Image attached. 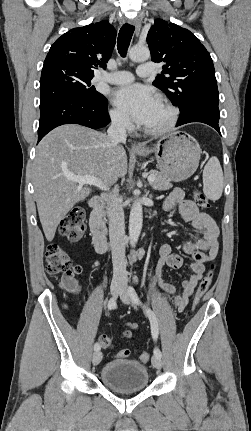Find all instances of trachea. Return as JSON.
Here are the masks:
<instances>
[{
	"instance_id": "obj_1",
	"label": "trachea",
	"mask_w": 251,
	"mask_h": 431,
	"mask_svg": "<svg viewBox=\"0 0 251 431\" xmlns=\"http://www.w3.org/2000/svg\"><path fill=\"white\" fill-rule=\"evenodd\" d=\"M134 29L135 27L133 25L124 24L119 31L117 49L122 57H125L127 54Z\"/></svg>"
}]
</instances>
